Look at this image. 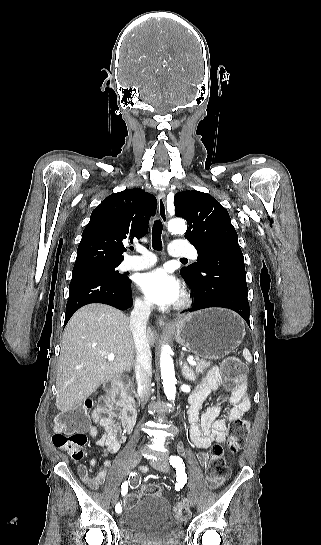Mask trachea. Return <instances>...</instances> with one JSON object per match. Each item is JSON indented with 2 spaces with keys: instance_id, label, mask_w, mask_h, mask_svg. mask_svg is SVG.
<instances>
[{
  "instance_id": "obj_1",
  "label": "trachea",
  "mask_w": 321,
  "mask_h": 545,
  "mask_svg": "<svg viewBox=\"0 0 321 545\" xmlns=\"http://www.w3.org/2000/svg\"><path fill=\"white\" fill-rule=\"evenodd\" d=\"M163 226L160 220H155L152 228V247L154 250H162V234ZM133 250V247H130ZM182 262H187V258H181Z\"/></svg>"
}]
</instances>
